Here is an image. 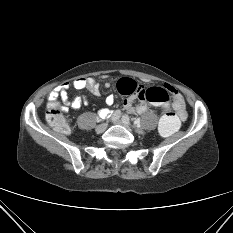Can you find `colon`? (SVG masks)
<instances>
[{"label": "colon", "instance_id": "1", "mask_svg": "<svg viewBox=\"0 0 233 233\" xmlns=\"http://www.w3.org/2000/svg\"><path fill=\"white\" fill-rule=\"evenodd\" d=\"M117 89L123 95H131L139 98L141 101L150 102L164 108L159 122V133L161 136L171 137L178 131L181 119L177 113L169 110L172 96L168 90L162 87L145 88L132 79H121L117 83ZM46 118L48 123L58 133L67 134L70 131V126L58 102L52 101L49 103Z\"/></svg>", "mask_w": 233, "mask_h": 233}]
</instances>
